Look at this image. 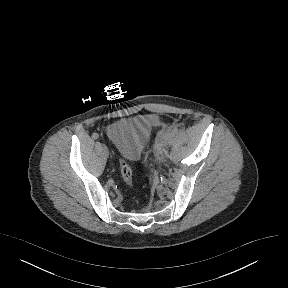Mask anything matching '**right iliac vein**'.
I'll return each instance as SVG.
<instances>
[{
    "mask_svg": "<svg viewBox=\"0 0 288 288\" xmlns=\"http://www.w3.org/2000/svg\"><path fill=\"white\" fill-rule=\"evenodd\" d=\"M103 149H104V153L106 154V156H108L109 155V150H108L107 146L103 145Z\"/></svg>",
    "mask_w": 288,
    "mask_h": 288,
    "instance_id": "63e3f726",
    "label": "right iliac vein"
}]
</instances>
